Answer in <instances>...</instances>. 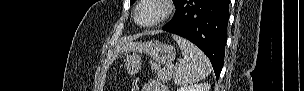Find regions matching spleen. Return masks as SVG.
<instances>
[{
    "instance_id": "obj_1",
    "label": "spleen",
    "mask_w": 304,
    "mask_h": 91,
    "mask_svg": "<svg viewBox=\"0 0 304 91\" xmlns=\"http://www.w3.org/2000/svg\"><path fill=\"white\" fill-rule=\"evenodd\" d=\"M184 59L179 64L174 76L177 85L194 84L209 75L211 64L207 56L194 44L184 38L174 36Z\"/></svg>"
}]
</instances>
